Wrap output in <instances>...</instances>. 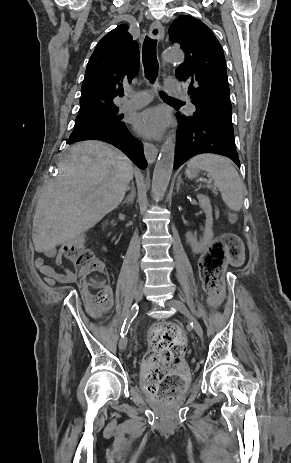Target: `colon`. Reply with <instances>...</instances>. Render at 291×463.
<instances>
[{"instance_id": "colon-1", "label": "colon", "mask_w": 291, "mask_h": 463, "mask_svg": "<svg viewBox=\"0 0 291 463\" xmlns=\"http://www.w3.org/2000/svg\"><path fill=\"white\" fill-rule=\"evenodd\" d=\"M62 254L76 268L88 313L98 317L112 301L106 289V272L101 261L86 247L82 238H76L61 248ZM240 257V241L233 233H225L214 240L200 260L201 275L213 302L222 290V275L227 258ZM151 352L143 365L144 387L154 397L166 401L178 396L184 385L186 367L182 357L186 336L173 323L156 326L150 336Z\"/></svg>"}]
</instances>
